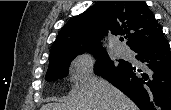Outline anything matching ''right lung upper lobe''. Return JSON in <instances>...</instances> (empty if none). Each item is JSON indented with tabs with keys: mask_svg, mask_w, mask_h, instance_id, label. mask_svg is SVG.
Listing matches in <instances>:
<instances>
[{
	"mask_svg": "<svg viewBox=\"0 0 171 110\" xmlns=\"http://www.w3.org/2000/svg\"><path fill=\"white\" fill-rule=\"evenodd\" d=\"M108 33L126 35L131 49L163 35L162 27L144 1H98L64 25L52 45L49 61L83 52L81 44L87 52L104 50L100 40Z\"/></svg>",
	"mask_w": 171,
	"mask_h": 110,
	"instance_id": "1",
	"label": "right lung upper lobe"
}]
</instances>
